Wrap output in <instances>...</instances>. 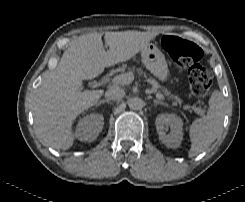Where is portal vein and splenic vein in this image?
I'll return each instance as SVG.
<instances>
[{
    "instance_id": "obj_1",
    "label": "portal vein and splenic vein",
    "mask_w": 245,
    "mask_h": 202,
    "mask_svg": "<svg viewBox=\"0 0 245 202\" xmlns=\"http://www.w3.org/2000/svg\"><path fill=\"white\" fill-rule=\"evenodd\" d=\"M134 80V74L132 72H127L123 74H119L115 76L112 80L111 83L113 84H120V85H126L131 83ZM156 97L158 99H164V95L162 93L157 92ZM199 114H203V110H198Z\"/></svg>"
}]
</instances>
